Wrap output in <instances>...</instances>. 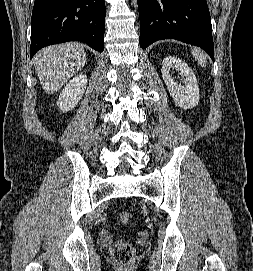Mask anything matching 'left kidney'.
<instances>
[{
    "mask_svg": "<svg viewBox=\"0 0 253 271\" xmlns=\"http://www.w3.org/2000/svg\"><path fill=\"white\" fill-rule=\"evenodd\" d=\"M173 69H177L184 78V85L179 84L172 77ZM161 73L170 95L179 107L190 109L198 105L200 95L197 79L184 61L174 56L164 58Z\"/></svg>",
    "mask_w": 253,
    "mask_h": 271,
    "instance_id": "5707ae66",
    "label": "left kidney"
}]
</instances>
